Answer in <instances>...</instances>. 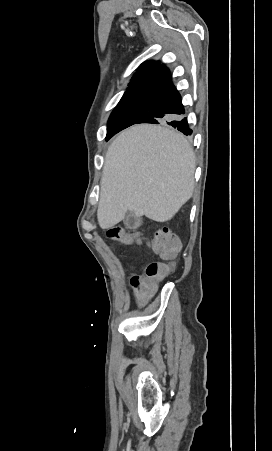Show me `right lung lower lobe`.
<instances>
[{
  "mask_svg": "<svg viewBox=\"0 0 272 451\" xmlns=\"http://www.w3.org/2000/svg\"><path fill=\"white\" fill-rule=\"evenodd\" d=\"M184 114L181 96L171 82L151 99L148 112L135 123L164 122L185 135H191L192 130L189 128L187 118L182 116Z\"/></svg>",
  "mask_w": 272,
  "mask_h": 451,
  "instance_id": "right-lung-lower-lobe-1",
  "label": "right lung lower lobe"
}]
</instances>
